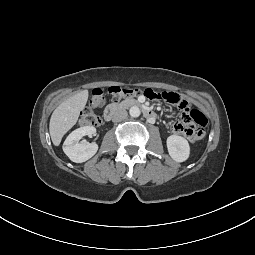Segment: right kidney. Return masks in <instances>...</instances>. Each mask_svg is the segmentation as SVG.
Returning a JSON list of instances; mask_svg holds the SVG:
<instances>
[{
	"mask_svg": "<svg viewBox=\"0 0 255 255\" xmlns=\"http://www.w3.org/2000/svg\"><path fill=\"white\" fill-rule=\"evenodd\" d=\"M95 133L96 128L93 126H83L74 130L63 144L64 153L75 163L87 161L96 154L98 145L96 143H79V140L85 135L91 137Z\"/></svg>",
	"mask_w": 255,
	"mask_h": 255,
	"instance_id": "right-kidney-1",
	"label": "right kidney"
}]
</instances>
